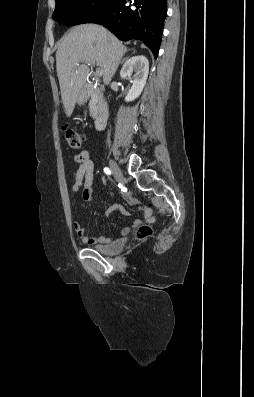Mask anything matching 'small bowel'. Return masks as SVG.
<instances>
[{"instance_id": "small-bowel-1", "label": "small bowel", "mask_w": 254, "mask_h": 397, "mask_svg": "<svg viewBox=\"0 0 254 397\" xmlns=\"http://www.w3.org/2000/svg\"><path fill=\"white\" fill-rule=\"evenodd\" d=\"M74 161L78 164V168L73 172L74 184L71 187V194L75 195L81 193L82 198L85 201H91L93 179H94V162L90 159L89 152L87 150H81L75 157ZM125 200L131 204L136 205L138 202L132 195H126ZM138 209L143 212L144 219L148 223L154 222L155 218L152 215L151 210L146 206H139ZM120 211L123 215L128 216L129 212L120 208L119 206H112L109 212ZM142 223L140 219L134 221V225L138 226ZM74 230L77 236L85 244H108L111 242V238L106 236L92 237L86 234L85 228L81 223H74ZM124 235L129 233V228L126 227L122 230Z\"/></svg>"}]
</instances>
